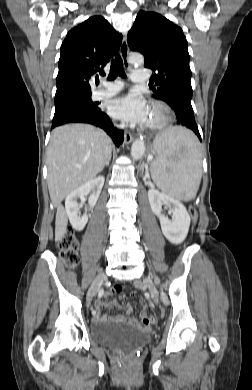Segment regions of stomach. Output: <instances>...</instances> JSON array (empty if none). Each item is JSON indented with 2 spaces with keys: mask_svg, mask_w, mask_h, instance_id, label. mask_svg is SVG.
<instances>
[{
  "mask_svg": "<svg viewBox=\"0 0 252 390\" xmlns=\"http://www.w3.org/2000/svg\"><path fill=\"white\" fill-rule=\"evenodd\" d=\"M168 159H169V160H173L174 157L171 155V156L168 157Z\"/></svg>",
  "mask_w": 252,
  "mask_h": 390,
  "instance_id": "0dacf381",
  "label": "stomach"
}]
</instances>
